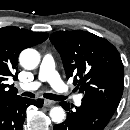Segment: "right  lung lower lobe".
I'll use <instances>...</instances> for the list:
<instances>
[{"label": "right lung lower lobe", "mask_w": 130, "mask_h": 130, "mask_svg": "<svg viewBox=\"0 0 130 130\" xmlns=\"http://www.w3.org/2000/svg\"><path fill=\"white\" fill-rule=\"evenodd\" d=\"M30 105L41 108L43 99L20 96L0 99V130H22L26 109Z\"/></svg>", "instance_id": "obj_1"}]
</instances>
